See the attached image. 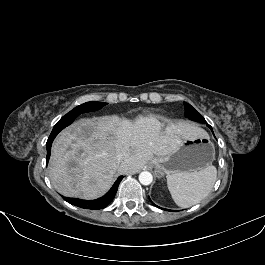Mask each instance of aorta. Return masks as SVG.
<instances>
[{
    "mask_svg": "<svg viewBox=\"0 0 265 265\" xmlns=\"http://www.w3.org/2000/svg\"><path fill=\"white\" fill-rule=\"evenodd\" d=\"M139 181L142 185H149L153 181V176L148 171H143L139 174Z\"/></svg>",
    "mask_w": 265,
    "mask_h": 265,
    "instance_id": "1",
    "label": "aorta"
}]
</instances>
